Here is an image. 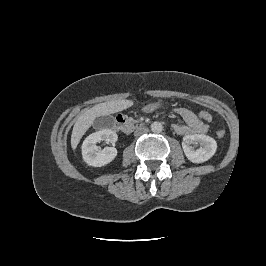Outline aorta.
Wrapping results in <instances>:
<instances>
[{
    "instance_id": "obj_1",
    "label": "aorta",
    "mask_w": 266,
    "mask_h": 266,
    "mask_svg": "<svg viewBox=\"0 0 266 266\" xmlns=\"http://www.w3.org/2000/svg\"><path fill=\"white\" fill-rule=\"evenodd\" d=\"M163 130V125L161 122L155 121L151 124V131L154 133H160Z\"/></svg>"
}]
</instances>
